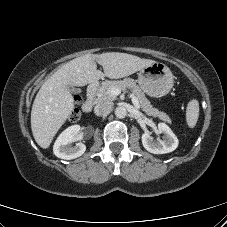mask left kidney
<instances>
[{"label":"left kidney","instance_id":"left-kidney-1","mask_svg":"<svg viewBox=\"0 0 227 227\" xmlns=\"http://www.w3.org/2000/svg\"><path fill=\"white\" fill-rule=\"evenodd\" d=\"M158 130L164 134V139L154 140L150 133L142 135L143 147L153 154H165L174 151L178 147V139L165 123L158 124Z\"/></svg>","mask_w":227,"mask_h":227}]
</instances>
